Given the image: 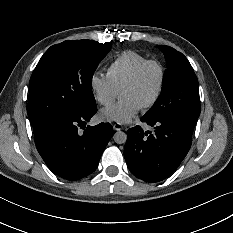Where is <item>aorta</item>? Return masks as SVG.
Returning <instances> with one entry per match:
<instances>
[{"mask_svg":"<svg viewBox=\"0 0 233 233\" xmlns=\"http://www.w3.org/2000/svg\"><path fill=\"white\" fill-rule=\"evenodd\" d=\"M113 139L117 144H123L127 140V134L123 131H117L114 134Z\"/></svg>","mask_w":233,"mask_h":233,"instance_id":"aorta-1","label":"aorta"}]
</instances>
